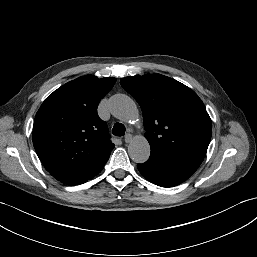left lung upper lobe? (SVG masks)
Instances as JSON below:
<instances>
[{
  "label": "left lung upper lobe",
  "mask_w": 257,
  "mask_h": 257,
  "mask_svg": "<svg viewBox=\"0 0 257 257\" xmlns=\"http://www.w3.org/2000/svg\"><path fill=\"white\" fill-rule=\"evenodd\" d=\"M120 84L142 109L151 154L205 157L212 123L192 89L161 74L129 76Z\"/></svg>",
  "instance_id": "5c2ea615"
}]
</instances>
